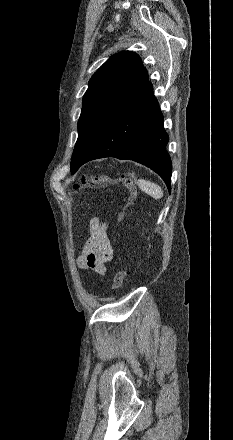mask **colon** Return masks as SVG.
Here are the masks:
<instances>
[{
	"label": "colon",
	"instance_id": "5ec220e1",
	"mask_svg": "<svg viewBox=\"0 0 233 440\" xmlns=\"http://www.w3.org/2000/svg\"><path fill=\"white\" fill-rule=\"evenodd\" d=\"M111 185H122L128 188L130 191L128 202L118 214V223L122 224L126 212L133 205V203L138 197V191L135 187V182L132 176L126 173H120L116 177H111L109 175L85 177L82 178L79 183L75 184L74 188L76 190L96 189V188L108 187ZM125 276H126L125 270L123 269L118 270L113 278L111 288L113 290L119 289L124 282Z\"/></svg>",
	"mask_w": 233,
	"mask_h": 440
}]
</instances>
